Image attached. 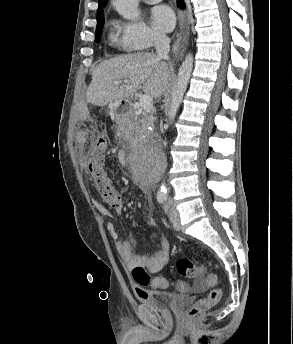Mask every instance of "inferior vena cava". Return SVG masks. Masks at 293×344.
Listing matches in <instances>:
<instances>
[{"label": "inferior vena cava", "mask_w": 293, "mask_h": 344, "mask_svg": "<svg viewBox=\"0 0 293 344\" xmlns=\"http://www.w3.org/2000/svg\"><path fill=\"white\" fill-rule=\"evenodd\" d=\"M154 44L157 57L159 59L168 60L170 51V38L163 33L157 32L154 34Z\"/></svg>", "instance_id": "inferior-vena-cava-1"}]
</instances>
